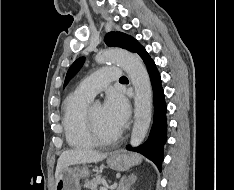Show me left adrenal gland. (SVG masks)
Here are the masks:
<instances>
[{"mask_svg": "<svg viewBox=\"0 0 234 190\" xmlns=\"http://www.w3.org/2000/svg\"><path fill=\"white\" fill-rule=\"evenodd\" d=\"M136 181V176L131 174L130 176H123L119 182L116 190H129L131 185Z\"/></svg>", "mask_w": 234, "mask_h": 190, "instance_id": "a2214340", "label": "left adrenal gland"}]
</instances>
